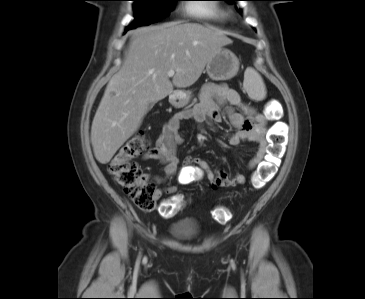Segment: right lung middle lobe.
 <instances>
[{
  "label": "right lung middle lobe",
  "instance_id": "obj_1",
  "mask_svg": "<svg viewBox=\"0 0 365 299\" xmlns=\"http://www.w3.org/2000/svg\"><path fill=\"white\" fill-rule=\"evenodd\" d=\"M136 20L127 28L133 29L161 20L168 15L174 1L178 0H133Z\"/></svg>",
  "mask_w": 365,
  "mask_h": 299
}]
</instances>
